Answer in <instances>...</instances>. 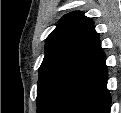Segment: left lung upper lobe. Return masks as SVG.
<instances>
[{
  "mask_svg": "<svg viewBox=\"0 0 121 113\" xmlns=\"http://www.w3.org/2000/svg\"><path fill=\"white\" fill-rule=\"evenodd\" d=\"M91 18L65 15L48 36L39 68L38 113H71L106 70Z\"/></svg>",
  "mask_w": 121,
  "mask_h": 113,
  "instance_id": "obj_1",
  "label": "left lung upper lobe"
}]
</instances>
